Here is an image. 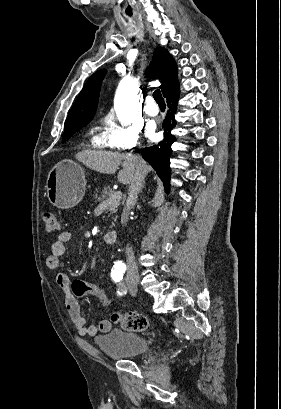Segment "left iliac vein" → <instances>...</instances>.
<instances>
[{"label":"left iliac vein","mask_w":281,"mask_h":409,"mask_svg":"<svg viewBox=\"0 0 281 409\" xmlns=\"http://www.w3.org/2000/svg\"><path fill=\"white\" fill-rule=\"evenodd\" d=\"M129 291L132 296H135L137 293V288L133 285H129Z\"/></svg>","instance_id":"4c4485c4"}]
</instances>
